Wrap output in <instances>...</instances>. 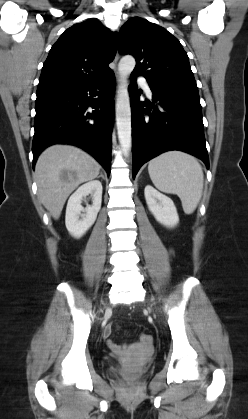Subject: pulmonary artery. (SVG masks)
Instances as JSON below:
<instances>
[{
  "instance_id": "1",
  "label": "pulmonary artery",
  "mask_w": 248,
  "mask_h": 419,
  "mask_svg": "<svg viewBox=\"0 0 248 419\" xmlns=\"http://www.w3.org/2000/svg\"><path fill=\"white\" fill-rule=\"evenodd\" d=\"M138 81L142 85V87L145 89V91L147 92V94L151 96L152 95V91L150 89V86H149L148 81L144 77H142V76L138 77Z\"/></svg>"
}]
</instances>
